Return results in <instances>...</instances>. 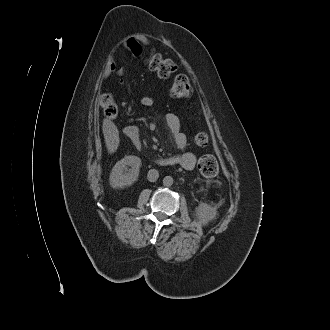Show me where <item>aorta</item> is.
<instances>
[{"label": "aorta", "mask_w": 330, "mask_h": 330, "mask_svg": "<svg viewBox=\"0 0 330 330\" xmlns=\"http://www.w3.org/2000/svg\"><path fill=\"white\" fill-rule=\"evenodd\" d=\"M173 182H174V180L171 176H165L163 178V185L164 186H167V187L172 186Z\"/></svg>", "instance_id": "obj_1"}]
</instances>
